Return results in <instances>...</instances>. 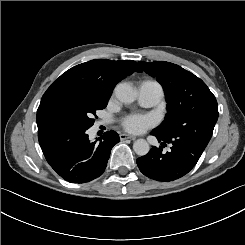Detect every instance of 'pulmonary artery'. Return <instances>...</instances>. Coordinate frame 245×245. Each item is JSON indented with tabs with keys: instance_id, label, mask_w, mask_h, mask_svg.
<instances>
[{
	"instance_id": "e3ab8cb5",
	"label": "pulmonary artery",
	"mask_w": 245,
	"mask_h": 245,
	"mask_svg": "<svg viewBox=\"0 0 245 245\" xmlns=\"http://www.w3.org/2000/svg\"><path fill=\"white\" fill-rule=\"evenodd\" d=\"M138 99L143 106H154L163 98V89L161 85L153 80H146L141 82L137 87ZM102 124L97 122L93 129L96 131Z\"/></svg>"
}]
</instances>
